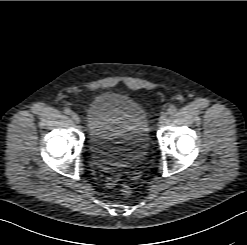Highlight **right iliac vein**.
<instances>
[{"label":"right iliac vein","mask_w":247,"mask_h":245,"mask_svg":"<svg viewBox=\"0 0 247 245\" xmlns=\"http://www.w3.org/2000/svg\"><path fill=\"white\" fill-rule=\"evenodd\" d=\"M71 118H72V120H73L76 124L80 123V118H79V116H78L77 113L72 112V113H71Z\"/></svg>","instance_id":"1"}]
</instances>
